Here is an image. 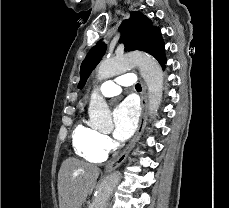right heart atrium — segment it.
<instances>
[{
    "label": "right heart atrium",
    "mask_w": 229,
    "mask_h": 208,
    "mask_svg": "<svg viewBox=\"0 0 229 208\" xmlns=\"http://www.w3.org/2000/svg\"><path fill=\"white\" fill-rule=\"evenodd\" d=\"M97 147L102 153L106 154L112 151L114 142L108 135L100 133L97 139Z\"/></svg>",
    "instance_id": "right-heart-atrium-1"
}]
</instances>
